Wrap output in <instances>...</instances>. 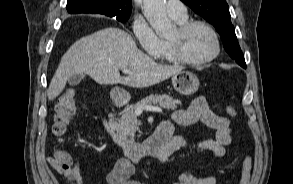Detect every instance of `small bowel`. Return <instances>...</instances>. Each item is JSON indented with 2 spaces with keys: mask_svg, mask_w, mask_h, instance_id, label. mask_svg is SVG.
<instances>
[{
  "mask_svg": "<svg viewBox=\"0 0 293 184\" xmlns=\"http://www.w3.org/2000/svg\"><path fill=\"white\" fill-rule=\"evenodd\" d=\"M171 119L182 126H190L202 122L215 130L214 139L196 141L201 148L210 150L217 157L225 154V147L231 143L232 127L228 118L214 113L202 96L196 97L185 109H178L171 115ZM189 138L185 135H177L172 138L169 148L157 157L158 162L165 163L167 159L180 147L188 144ZM53 168L63 174L70 184H85L81 174L80 164L77 160L69 159L66 163L51 161ZM134 173L133 164L125 159H118L107 175L109 184H141L132 179ZM213 176H195L191 173H182L178 180L170 184H215Z\"/></svg>",
  "mask_w": 293,
  "mask_h": 184,
  "instance_id": "c3829d8e",
  "label": "small bowel"
}]
</instances>
